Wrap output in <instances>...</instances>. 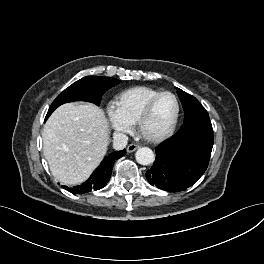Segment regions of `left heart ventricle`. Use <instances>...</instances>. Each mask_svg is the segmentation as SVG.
I'll return each instance as SVG.
<instances>
[{"label":"left heart ventricle","instance_id":"b2bd125f","mask_svg":"<svg viewBox=\"0 0 264 264\" xmlns=\"http://www.w3.org/2000/svg\"><path fill=\"white\" fill-rule=\"evenodd\" d=\"M176 112V104L170 95L162 96L154 105L153 110L144 124L143 131L147 135H158L171 124Z\"/></svg>","mask_w":264,"mask_h":264}]
</instances>
